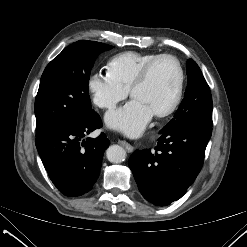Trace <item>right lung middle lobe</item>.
I'll list each match as a JSON object with an SVG mask.
<instances>
[{
	"mask_svg": "<svg viewBox=\"0 0 247 247\" xmlns=\"http://www.w3.org/2000/svg\"><path fill=\"white\" fill-rule=\"evenodd\" d=\"M112 48L82 40L66 47L48 64L35 99L36 137L93 117L90 71L97 56Z\"/></svg>",
	"mask_w": 247,
	"mask_h": 247,
	"instance_id": "right-lung-middle-lobe-1",
	"label": "right lung middle lobe"
}]
</instances>
